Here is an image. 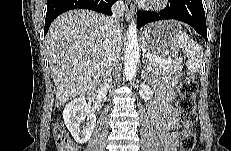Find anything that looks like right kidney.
Returning <instances> with one entry per match:
<instances>
[{
    "mask_svg": "<svg viewBox=\"0 0 231 151\" xmlns=\"http://www.w3.org/2000/svg\"><path fill=\"white\" fill-rule=\"evenodd\" d=\"M63 119L77 143L84 144L90 139L96 125V115L84 97L75 98L65 106Z\"/></svg>",
    "mask_w": 231,
    "mask_h": 151,
    "instance_id": "ca27d5eb",
    "label": "right kidney"
}]
</instances>
